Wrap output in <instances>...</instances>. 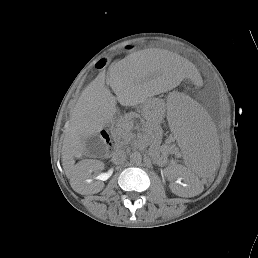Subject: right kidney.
I'll return each mask as SVG.
<instances>
[{
    "label": "right kidney",
    "instance_id": "obj_1",
    "mask_svg": "<svg viewBox=\"0 0 258 258\" xmlns=\"http://www.w3.org/2000/svg\"><path fill=\"white\" fill-rule=\"evenodd\" d=\"M85 166L87 167L88 173H91L92 171H95V170H100V169H102V167L100 166V162L95 161V160H91V161H89V162H86ZM106 179H107V177L105 176L103 180H106ZM87 181H88V180H87ZM89 182H91V181L89 180ZM102 188H103V184H101V185L99 186V188L94 189V190H92L91 192H92V193H97V192L100 191Z\"/></svg>",
    "mask_w": 258,
    "mask_h": 258
}]
</instances>
